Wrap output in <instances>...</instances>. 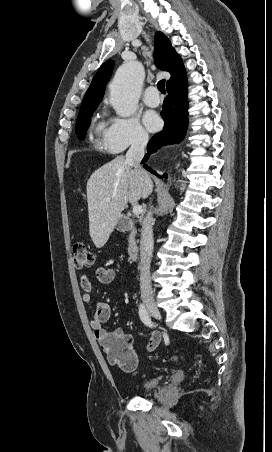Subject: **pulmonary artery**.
<instances>
[{
    "mask_svg": "<svg viewBox=\"0 0 272 452\" xmlns=\"http://www.w3.org/2000/svg\"><path fill=\"white\" fill-rule=\"evenodd\" d=\"M143 101L147 106L156 107L160 104V97L157 93V89L154 86L146 88L143 95Z\"/></svg>",
    "mask_w": 272,
    "mask_h": 452,
    "instance_id": "1",
    "label": "pulmonary artery"
}]
</instances>
